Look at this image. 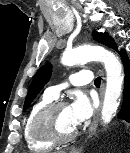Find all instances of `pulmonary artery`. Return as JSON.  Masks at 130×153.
Returning a JSON list of instances; mask_svg holds the SVG:
<instances>
[{
    "mask_svg": "<svg viewBox=\"0 0 130 153\" xmlns=\"http://www.w3.org/2000/svg\"><path fill=\"white\" fill-rule=\"evenodd\" d=\"M70 82L74 86H81L88 84L92 81V73L88 70L74 73L70 76ZM64 84H59L56 86H51L47 89V94L53 98H58L60 91L64 88Z\"/></svg>",
    "mask_w": 130,
    "mask_h": 153,
    "instance_id": "e3ab8cb5",
    "label": "pulmonary artery"
}]
</instances>
